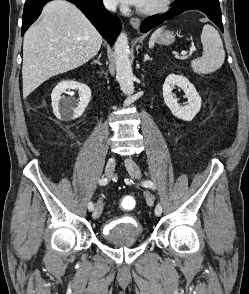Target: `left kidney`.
Wrapping results in <instances>:
<instances>
[{
  "label": "left kidney",
  "instance_id": "obj_1",
  "mask_svg": "<svg viewBox=\"0 0 249 294\" xmlns=\"http://www.w3.org/2000/svg\"><path fill=\"white\" fill-rule=\"evenodd\" d=\"M180 87L185 92L188 103L184 106L178 103V99L172 93L174 86ZM163 98L172 114L184 121H191L201 109V97L189 80L176 74H169L163 84Z\"/></svg>",
  "mask_w": 249,
  "mask_h": 294
}]
</instances>
